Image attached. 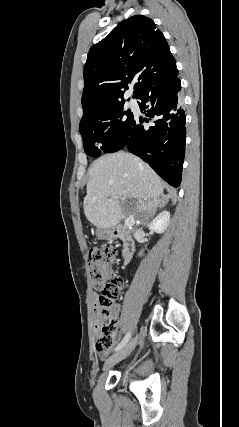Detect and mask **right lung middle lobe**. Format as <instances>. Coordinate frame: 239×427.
<instances>
[{"label": "right lung middle lobe", "mask_w": 239, "mask_h": 427, "mask_svg": "<svg viewBox=\"0 0 239 427\" xmlns=\"http://www.w3.org/2000/svg\"><path fill=\"white\" fill-rule=\"evenodd\" d=\"M134 116L124 107V100L99 104L83 115L79 131L85 152L98 157L104 152H115L122 148Z\"/></svg>", "instance_id": "1"}]
</instances>
